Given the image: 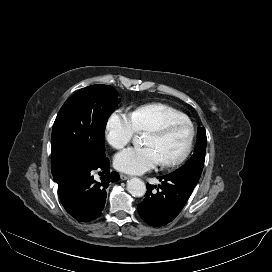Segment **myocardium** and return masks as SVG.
<instances>
[{
  "mask_svg": "<svg viewBox=\"0 0 272 272\" xmlns=\"http://www.w3.org/2000/svg\"><path fill=\"white\" fill-rule=\"evenodd\" d=\"M179 128H185L188 131L187 145L183 152L177 158L162 162V165L164 167H176L182 164L189 157L190 153L192 152L195 141L194 126L189 121H171L147 132V134L164 137L170 134L172 131Z\"/></svg>",
  "mask_w": 272,
  "mask_h": 272,
  "instance_id": "f54148a6",
  "label": "myocardium"
}]
</instances>
